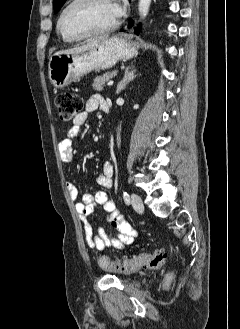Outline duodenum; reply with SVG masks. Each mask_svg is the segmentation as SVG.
I'll return each instance as SVG.
<instances>
[{"mask_svg": "<svg viewBox=\"0 0 240 329\" xmlns=\"http://www.w3.org/2000/svg\"><path fill=\"white\" fill-rule=\"evenodd\" d=\"M102 109H103V111H104L105 113H109V111H110V107H109L108 102H105V103H104Z\"/></svg>", "mask_w": 240, "mask_h": 329, "instance_id": "410a0bca", "label": "duodenum"}]
</instances>
